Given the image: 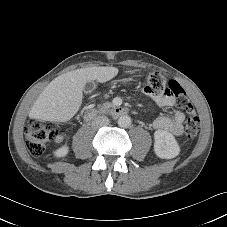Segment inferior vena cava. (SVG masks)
<instances>
[{
	"label": "inferior vena cava",
	"instance_id": "inferior-vena-cava-1",
	"mask_svg": "<svg viewBox=\"0 0 227 227\" xmlns=\"http://www.w3.org/2000/svg\"><path fill=\"white\" fill-rule=\"evenodd\" d=\"M109 119L106 116H98L92 121V128L99 129L100 127L109 125Z\"/></svg>",
	"mask_w": 227,
	"mask_h": 227
}]
</instances>
